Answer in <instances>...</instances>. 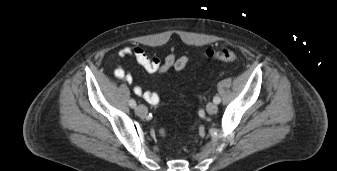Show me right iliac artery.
Wrapping results in <instances>:
<instances>
[{"label":"right iliac artery","mask_w":337,"mask_h":171,"mask_svg":"<svg viewBox=\"0 0 337 171\" xmlns=\"http://www.w3.org/2000/svg\"><path fill=\"white\" fill-rule=\"evenodd\" d=\"M129 106H130L131 108H135V107H136V102H135L134 99H131V100L129 101Z\"/></svg>","instance_id":"right-iliac-artery-1"}]
</instances>
